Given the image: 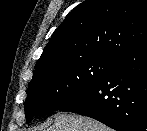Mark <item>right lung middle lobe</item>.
I'll list each match as a JSON object with an SVG mask.
<instances>
[{
	"label": "right lung middle lobe",
	"mask_w": 147,
	"mask_h": 131,
	"mask_svg": "<svg viewBox=\"0 0 147 131\" xmlns=\"http://www.w3.org/2000/svg\"><path fill=\"white\" fill-rule=\"evenodd\" d=\"M116 60L93 57L63 64L34 75L25 101L26 121L50 114L78 99L96 85Z\"/></svg>",
	"instance_id": "obj_1"
}]
</instances>
